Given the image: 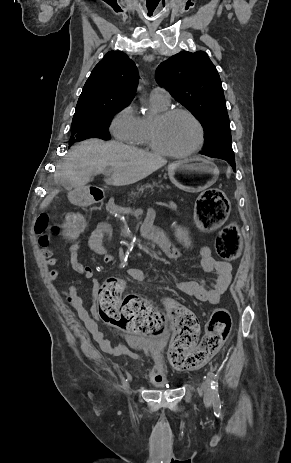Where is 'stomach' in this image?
<instances>
[{"label":"stomach","mask_w":291,"mask_h":463,"mask_svg":"<svg viewBox=\"0 0 291 463\" xmlns=\"http://www.w3.org/2000/svg\"><path fill=\"white\" fill-rule=\"evenodd\" d=\"M168 176L178 188L196 193L212 186L219 176L217 166L200 157L178 160L168 166ZM71 201L76 204L86 202L85 188H76L69 194Z\"/></svg>","instance_id":"obj_1"}]
</instances>
